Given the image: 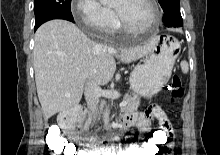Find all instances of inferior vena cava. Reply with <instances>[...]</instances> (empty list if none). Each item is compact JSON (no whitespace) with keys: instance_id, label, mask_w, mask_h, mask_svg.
Segmentation results:
<instances>
[{"instance_id":"obj_1","label":"inferior vena cava","mask_w":220,"mask_h":155,"mask_svg":"<svg viewBox=\"0 0 220 155\" xmlns=\"http://www.w3.org/2000/svg\"><path fill=\"white\" fill-rule=\"evenodd\" d=\"M84 95L88 108L95 113L99 102V97L101 95V88L97 84L89 82L85 86Z\"/></svg>"}]
</instances>
